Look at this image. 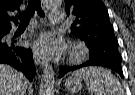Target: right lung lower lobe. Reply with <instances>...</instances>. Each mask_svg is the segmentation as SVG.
Listing matches in <instances>:
<instances>
[{"mask_svg":"<svg viewBox=\"0 0 135 95\" xmlns=\"http://www.w3.org/2000/svg\"><path fill=\"white\" fill-rule=\"evenodd\" d=\"M11 28L0 30V64H9L31 81L35 75V66L31 49L15 46V42L6 41L3 37Z\"/></svg>","mask_w":135,"mask_h":95,"instance_id":"right-lung-lower-lobe-1","label":"right lung lower lobe"}]
</instances>
